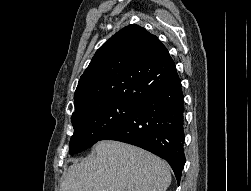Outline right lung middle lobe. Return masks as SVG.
<instances>
[{"label": "right lung middle lobe", "instance_id": "right-lung-middle-lobe-1", "mask_svg": "<svg viewBox=\"0 0 251 191\" xmlns=\"http://www.w3.org/2000/svg\"><path fill=\"white\" fill-rule=\"evenodd\" d=\"M139 104L111 101L75 110L71 117L74 134L70 139L69 154L82 152L101 140L105 134L127 119Z\"/></svg>", "mask_w": 251, "mask_h": 191}]
</instances>
